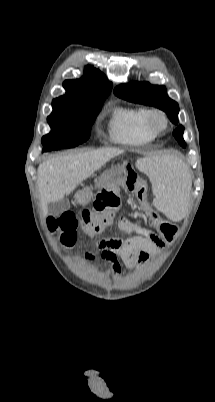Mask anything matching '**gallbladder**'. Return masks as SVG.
Returning a JSON list of instances; mask_svg holds the SVG:
<instances>
[{"label":"gallbladder","instance_id":"bac80fb5","mask_svg":"<svg viewBox=\"0 0 215 402\" xmlns=\"http://www.w3.org/2000/svg\"><path fill=\"white\" fill-rule=\"evenodd\" d=\"M69 206V200L67 198H62L61 200L56 202H49L48 210L51 214L58 216L68 210Z\"/></svg>","mask_w":215,"mask_h":402}]
</instances>
